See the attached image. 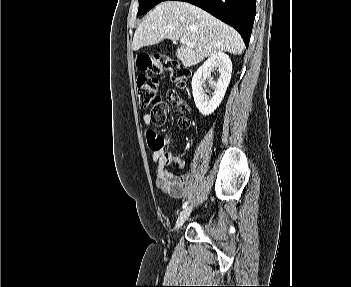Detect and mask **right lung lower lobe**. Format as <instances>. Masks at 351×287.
<instances>
[{"mask_svg":"<svg viewBox=\"0 0 351 287\" xmlns=\"http://www.w3.org/2000/svg\"><path fill=\"white\" fill-rule=\"evenodd\" d=\"M166 1V0H164ZM196 5L231 25L242 36L246 47L252 32L256 0H178Z\"/></svg>","mask_w":351,"mask_h":287,"instance_id":"obj_1","label":"right lung lower lobe"}]
</instances>
